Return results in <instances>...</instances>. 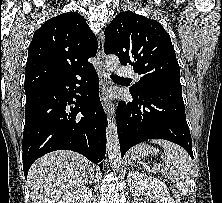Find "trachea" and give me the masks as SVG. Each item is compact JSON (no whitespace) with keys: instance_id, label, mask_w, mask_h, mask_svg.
I'll return each instance as SVG.
<instances>
[{"instance_id":"3493384b","label":"trachea","mask_w":222,"mask_h":203,"mask_svg":"<svg viewBox=\"0 0 222 203\" xmlns=\"http://www.w3.org/2000/svg\"><path fill=\"white\" fill-rule=\"evenodd\" d=\"M110 77L113 79H118V80H129L128 78H123L114 74H111Z\"/></svg>"}]
</instances>
